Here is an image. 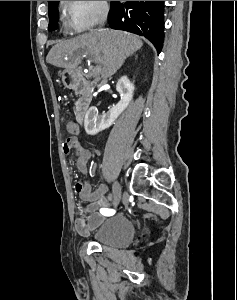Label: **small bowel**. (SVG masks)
<instances>
[{
    "mask_svg": "<svg viewBox=\"0 0 237 300\" xmlns=\"http://www.w3.org/2000/svg\"><path fill=\"white\" fill-rule=\"evenodd\" d=\"M66 129L70 134L79 133L78 125L73 121L66 123ZM67 153L68 151L65 150ZM91 152L87 149L80 148L79 157L76 160V167L82 174L81 180L75 184V191L79 194L81 200L86 206L81 210L75 219V229L82 235L86 236L92 229L99 226L105 215L101 213L102 209H107L115 201L114 193H108V186L101 184L96 190H92L89 182L88 160Z\"/></svg>",
    "mask_w": 237,
    "mask_h": 300,
    "instance_id": "c3829d8e",
    "label": "small bowel"
}]
</instances>
